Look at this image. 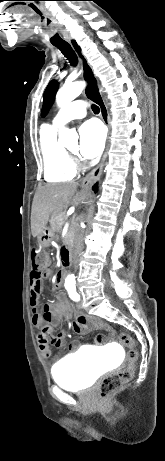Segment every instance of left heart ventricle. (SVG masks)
<instances>
[{
    "label": "left heart ventricle",
    "instance_id": "obj_1",
    "mask_svg": "<svg viewBox=\"0 0 165 461\" xmlns=\"http://www.w3.org/2000/svg\"><path fill=\"white\" fill-rule=\"evenodd\" d=\"M76 150H77L76 147H73V148L70 149V151H72V152H76Z\"/></svg>",
    "mask_w": 165,
    "mask_h": 461
}]
</instances>
